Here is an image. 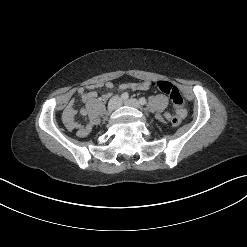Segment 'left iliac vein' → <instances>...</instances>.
Masks as SVG:
<instances>
[{
    "instance_id": "left-iliac-vein-1",
    "label": "left iliac vein",
    "mask_w": 247,
    "mask_h": 247,
    "mask_svg": "<svg viewBox=\"0 0 247 247\" xmlns=\"http://www.w3.org/2000/svg\"><path fill=\"white\" fill-rule=\"evenodd\" d=\"M124 104L127 106H130V107H134L136 109H140V104H139L138 100H136V99L131 98V99L125 100Z\"/></svg>"
}]
</instances>
